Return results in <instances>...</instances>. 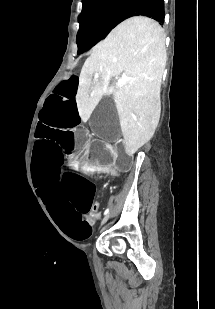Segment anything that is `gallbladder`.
<instances>
[{
	"label": "gallbladder",
	"mask_w": 215,
	"mask_h": 309,
	"mask_svg": "<svg viewBox=\"0 0 215 309\" xmlns=\"http://www.w3.org/2000/svg\"><path fill=\"white\" fill-rule=\"evenodd\" d=\"M95 107L90 115L91 132L115 142V136L120 135V123L114 98H101Z\"/></svg>",
	"instance_id": "gallbladder-1"
}]
</instances>
